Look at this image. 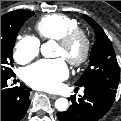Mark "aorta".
Instances as JSON below:
<instances>
[{
	"mask_svg": "<svg viewBox=\"0 0 121 121\" xmlns=\"http://www.w3.org/2000/svg\"><path fill=\"white\" fill-rule=\"evenodd\" d=\"M55 46L56 43L52 40L42 44L41 54L46 58L53 57ZM68 106H69L68 100L65 98H59L55 102V108L60 112L66 111L68 109Z\"/></svg>",
	"mask_w": 121,
	"mask_h": 121,
	"instance_id": "1",
	"label": "aorta"
}]
</instances>
